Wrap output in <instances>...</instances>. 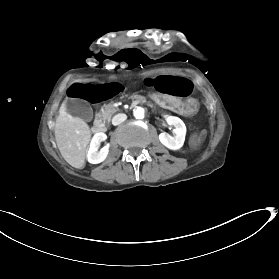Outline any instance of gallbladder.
<instances>
[{"label":"gallbladder","instance_id":"bac80fb5","mask_svg":"<svg viewBox=\"0 0 279 279\" xmlns=\"http://www.w3.org/2000/svg\"><path fill=\"white\" fill-rule=\"evenodd\" d=\"M66 106L67 111L74 117H80L82 120H89L92 117V110L84 102L68 100Z\"/></svg>","mask_w":279,"mask_h":279}]
</instances>
